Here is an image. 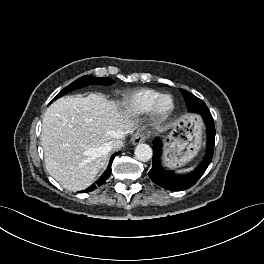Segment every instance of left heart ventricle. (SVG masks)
I'll return each mask as SVG.
<instances>
[{
    "mask_svg": "<svg viewBox=\"0 0 264 264\" xmlns=\"http://www.w3.org/2000/svg\"><path fill=\"white\" fill-rule=\"evenodd\" d=\"M167 105H169V101H166V102H165V106H167Z\"/></svg>",
    "mask_w": 264,
    "mask_h": 264,
    "instance_id": "1",
    "label": "left heart ventricle"
}]
</instances>
